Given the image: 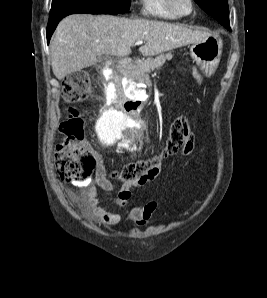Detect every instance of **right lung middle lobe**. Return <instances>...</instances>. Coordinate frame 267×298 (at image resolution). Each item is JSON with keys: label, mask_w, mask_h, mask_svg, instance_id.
I'll list each match as a JSON object with an SVG mask.
<instances>
[{"label": "right lung middle lobe", "mask_w": 267, "mask_h": 298, "mask_svg": "<svg viewBox=\"0 0 267 298\" xmlns=\"http://www.w3.org/2000/svg\"><path fill=\"white\" fill-rule=\"evenodd\" d=\"M130 0H53L49 23L74 13L123 14L129 11Z\"/></svg>", "instance_id": "dd1d6c3e"}]
</instances>
